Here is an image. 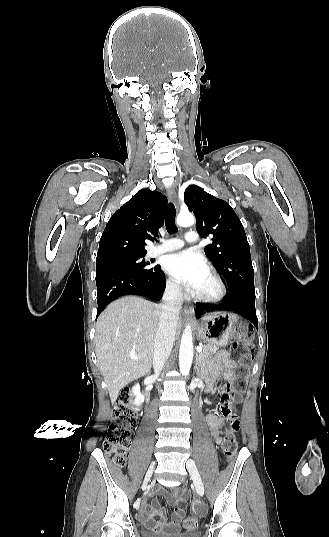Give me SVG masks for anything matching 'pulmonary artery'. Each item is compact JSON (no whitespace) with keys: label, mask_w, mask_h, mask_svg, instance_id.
Listing matches in <instances>:
<instances>
[{"label":"pulmonary artery","mask_w":329,"mask_h":537,"mask_svg":"<svg viewBox=\"0 0 329 537\" xmlns=\"http://www.w3.org/2000/svg\"><path fill=\"white\" fill-rule=\"evenodd\" d=\"M198 241H199V237H198L197 232L188 231L185 234V242L187 244H191V245L197 244ZM185 242L182 241L179 238H172V239L166 240L161 245L155 247L151 251V254L152 255H159V254H163V253H166V252H171V251L178 250V249H180V248H182L184 246Z\"/></svg>","instance_id":"1"}]
</instances>
